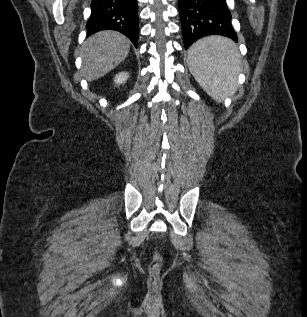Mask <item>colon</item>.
<instances>
[{
	"label": "colon",
	"instance_id": "1",
	"mask_svg": "<svg viewBox=\"0 0 307 317\" xmlns=\"http://www.w3.org/2000/svg\"><path fill=\"white\" fill-rule=\"evenodd\" d=\"M161 267V259L158 255H155L150 264V273L153 279H156L159 275Z\"/></svg>",
	"mask_w": 307,
	"mask_h": 317
}]
</instances>
